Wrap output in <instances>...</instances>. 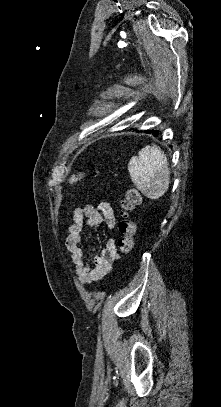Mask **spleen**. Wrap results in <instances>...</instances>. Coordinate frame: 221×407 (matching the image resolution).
<instances>
[{"instance_id": "3e777b00", "label": "spleen", "mask_w": 221, "mask_h": 407, "mask_svg": "<svg viewBox=\"0 0 221 407\" xmlns=\"http://www.w3.org/2000/svg\"><path fill=\"white\" fill-rule=\"evenodd\" d=\"M128 171L133 184L150 199L162 197L169 187L167 158L155 144L146 146L138 156H133L128 163Z\"/></svg>"}]
</instances>
